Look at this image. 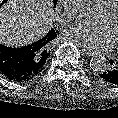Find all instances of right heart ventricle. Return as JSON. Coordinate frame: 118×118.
Here are the masks:
<instances>
[{"label":"right heart ventricle","instance_id":"right-heart-ventricle-1","mask_svg":"<svg viewBox=\"0 0 118 118\" xmlns=\"http://www.w3.org/2000/svg\"><path fill=\"white\" fill-rule=\"evenodd\" d=\"M117 0H93V2L97 5L98 8L103 9L110 4L116 2Z\"/></svg>","mask_w":118,"mask_h":118}]
</instances>
